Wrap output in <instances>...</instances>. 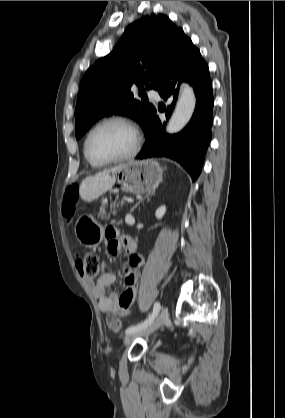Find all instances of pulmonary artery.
<instances>
[{
  "mask_svg": "<svg viewBox=\"0 0 285 418\" xmlns=\"http://www.w3.org/2000/svg\"><path fill=\"white\" fill-rule=\"evenodd\" d=\"M148 95L150 97L154 98V99H160L161 98V94L156 89H149L148 90Z\"/></svg>",
  "mask_w": 285,
  "mask_h": 418,
  "instance_id": "e3ab8cb5",
  "label": "pulmonary artery"
}]
</instances>
